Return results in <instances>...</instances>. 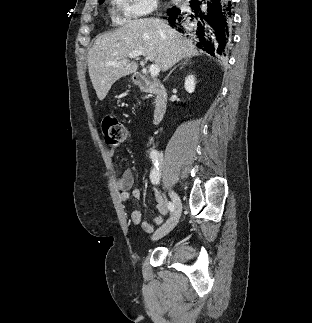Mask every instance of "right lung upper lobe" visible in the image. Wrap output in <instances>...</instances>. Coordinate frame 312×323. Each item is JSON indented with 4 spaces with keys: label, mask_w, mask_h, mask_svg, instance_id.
<instances>
[{
    "label": "right lung upper lobe",
    "mask_w": 312,
    "mask_h": 323,
    "mask_svg": "<svg viewBox=\"0 0 312 323\" xmlns=\"http://www.w3.org/2000/svg\"><path fill=\"white\" fill-rule=\"evenodd\" d=\"M104 2V0H99V3L102 4Z\"/></svg>",
    "instance_id": "1"
}]
</instances>
